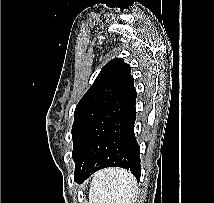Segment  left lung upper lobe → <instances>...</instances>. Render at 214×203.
Segmentation results:
<instances>
[{
    "label": "left lung upper lobe",
    "mask_w": 214,
    "mask_h": 203,
    "mask_svg": "<svg viewBox=\"0 0 214 203\" xmlns=\"http://www.w3.org/2000/svg\"><path fill=\"white\" fill-rule=\"evenodd\" d=\"M130 71V66L122 58L111 60L77 104L72 127L73 159L90 125L131 81Z\"/></svg>",
    "instance_id": "left-lung-upper-lobe-1"
}]
</instances>
